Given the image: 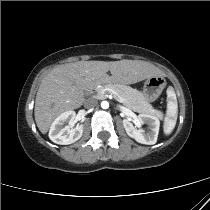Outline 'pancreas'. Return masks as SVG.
<instances>
[{
    "mask_svg": "<svg viewBox=\"0 0 210 210\" xmlns=\"http://www.w3.org/2000/svg\"><path fill=\"white\" fill-rule=\"evenodd\" d=\"M107 90L114 91L120 98L123 99V103L128 108L135 112L150 114L157 116L158 112L153 109L151 104L146 100L144 94L130 86L117 83H109L96 90V96L98 98H103L107 94Z\"/></svg>",
    "mask_w": 210,
    "mask_h": 210,
    "instance_id": "obj_1",
    "label": "pancreas"
}]
</instances>
